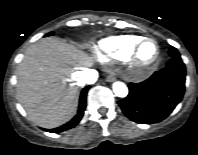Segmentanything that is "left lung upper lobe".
<instances>
[{"label":"left lung upper lobe","instance_id":"obj_1","mask_svg":"<svg viewBox=\"0 0 198 155\" xmlns=\"http://www.w3.org/2000/svg\"><path fill=\"white\" fill-rule=\"evenodd\" d=\"M169 54H170V56H171L172 58H180L179 52H178L177 49L174 48V47H170V49H169Z\"/></svg>","mask_w":198,"mask_h":155}]
</instances>
